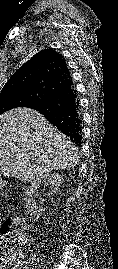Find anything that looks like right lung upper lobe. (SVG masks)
<instances>
[{
  "label": "right lung upper lobe",
  "mask_w": 118,
  "mask_h": 269,
  "mask_svg": "<svg viewBox=\"0 0 118 269\" xmlns=\"http://www.w3.org/2000/svg\"><path fill=\"white\" fill-rule=\"evenodd\" d=\"M71 84L72 78L64 57L53 49H45L11 76L0 97L7 94H26L35 96L36 102H39Z\"/></svg>",
  "instance_id": "obj_1"
}]
</instances>
